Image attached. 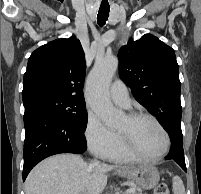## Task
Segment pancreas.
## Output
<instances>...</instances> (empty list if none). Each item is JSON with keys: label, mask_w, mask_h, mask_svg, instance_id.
Segmentation results:
<instances>
[{"label": "pancreas", "mask_w": 201, "mask_h": 194, "mask_svg": "<svg viewBox=\"0 0 201 194\" xmlns=\"http://www.w3.org/2000/svg\"><path fill=\"white\" fill-rule=\"evenodd\" d=\"M132 191H131V193H129V194H143L142 193V191H140V190H137V189H135V188H130ZM126 194V193H125Z\"/></svg>", "instance_id": "pancreas-1"}]
</instances>
